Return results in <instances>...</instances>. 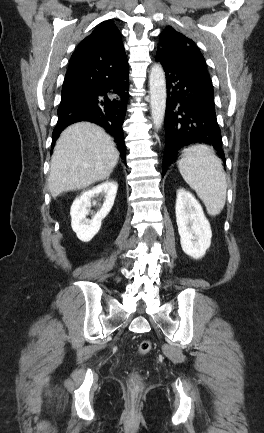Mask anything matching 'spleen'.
I'll return each mask as SVG.
<instances>
[{"label": "spleen", "instance_id": "3e777b00", "mask_svg": "<svg viewBox=\"0 0 264 433\" xmlns=\"http://www.w3.org/2000/svg\"><path fill=\"white\" fill-rule=\"evenodd\" d=\"M178 169L196 191L211 216L220 214L226 201L227 182L222 161L212 148L194 145L184 150Z\"/></svg>", "mask_w": 264, "mask_h": 433}]
</instances>
